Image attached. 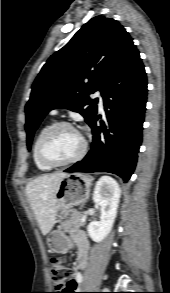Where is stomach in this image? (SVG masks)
<instances>
[{
	"label": "stomach",
	"instance_id": "1",
	"mask_svg": "<svg viewBox=\"0 0 170 293\" xmlns=\"http://www.w3.org/2000/svg\"><path fill=\"white\" fill-rule=\"evenodd\" d=\"M92 177L81 173L67 174L56 190V215L68 216L72 207L83 204L90 196ZM50 248L56 253H64L69 248V239L61 230L52 231L48 237Z\"/></svg>",
	"mask_w": 170,
	"mask_h": 293
}]
</instances>
